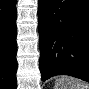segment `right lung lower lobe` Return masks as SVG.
<instances>
[{"label": "right lung lower lobe", "mask_w": 89, "mask_h": 89, "mask_svg": "<svg viewBox=\"0 0 89 89\" xmlns=\"http://www.w3.org/2000/svg\"><path fill=\"white\" fill-rule=\"evenodd\" d=\"M0 10V73L4 89H16V0H3Z\"/></svg>", "instance_id": "1"}]
</instances>
